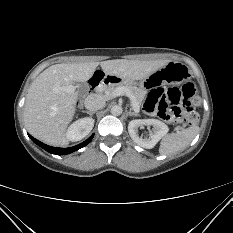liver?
Segmentation results:
<instances>
[{"instance_id": "obj_1", "label": "liver", "mask_w": 233, "mask_h": 233, "mask_svg": "<svg viewBox=\"0 0 233 233\" xmlns=\"http://www.w3.org/2000/svg\"><path fill=\"white\" fill-rule=\"evenodd\" d=\"M168 62L115 59L52 65L38 75L28 90L24 105L26 128L46 144L65 146L69 141L66 129L76 112L77 82L88 81L99 65L106 76H116L124 81L142 80Z\"/></svg>"}]
</instances>
